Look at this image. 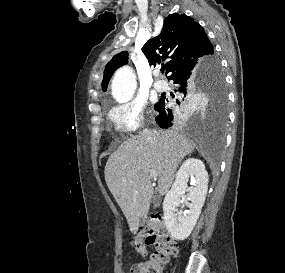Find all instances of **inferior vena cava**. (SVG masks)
<instances>
[{
  "label": "inferior vena cava",
  "instance_id": "inferior-vena-cava-1",
  "mask_svg": "<svg viewBox=\"0 0 285 273\" xmlns=\"http://www.w3.org/2000/svg\"><path fill=\"white\" fill-rule=\"evenodd\" d=\"M150 133H151V131L145 129V130H143L142 135L146 136V135H149Z\"/></svg>",
  "mask_w": 285,
  "mask_h": 273
}]
</instances>
